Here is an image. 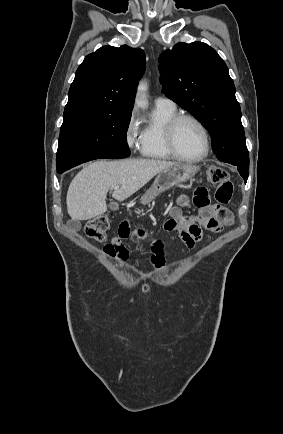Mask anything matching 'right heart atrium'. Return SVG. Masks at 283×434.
<instances>
[{
  "label": "right heart atrium",
  "mask_w": 283,
  "mask_h": 434,
  "mask_svg": "<svg viewBox=\"0 0 283 434\" xmlns=\"http://www.w3.org/2000/svg\"><path fill=\"white\" fill-rule=\"evenodd\" d=\"M124 139L126 145L130 149H136L139 147L141 142V131L138 126L136 115L134 112L128 118L124 129Z\"/></svg>",
  "instance_id": "1"
}]
</instances>
